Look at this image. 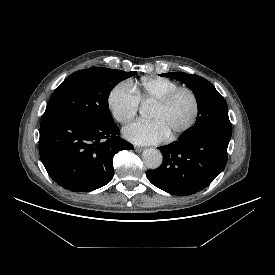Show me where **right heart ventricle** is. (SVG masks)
<instances>
[{
    "instance_id": "e07e8e85",
    "label": "right heart ventricle",
    "mask_w": 275,
    "mask_h": 275,
    "mask_svg": "<svg viewBox=\"0 0 275 275\" xmlns=\"http://www.w3.org/2000/svg\"><path fill=\"white\" fill-rule=\"evenodd\" d=\"M178 87L177 82L165 77H145L136 90L141 102L155 103Z\"/></svg>"
}]
</instances>
